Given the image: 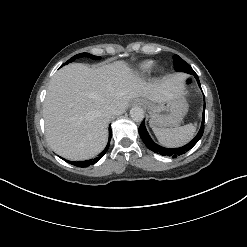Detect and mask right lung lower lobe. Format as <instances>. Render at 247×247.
<instances>
[{"instance_id": "98d812e1", "label": "right lung lower lobe", "mask_w": 247, "mask_h": 247, "mask_svg": "<svg viewBox=\"0 0 247 247\" xmlns=\"http://www.w3.org/2000/svg\"><path fill=\"white\" fill-rule=\"evenodd\" d=\"M111 136H112V131H111V126H109V140H108V144L105 147V149L98 155V157L91 159V160H86V161H67L68 163L78 166V167H88L90 165L95 164L100 158H102V156L107 152L109 146H110V140H111Z\"/></svg>"}]
</instances>
